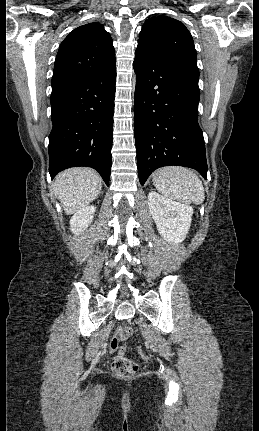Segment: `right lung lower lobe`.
Here are the masks:
<instances>
[{
    "label": "right lung lower lobe",
    "instance_id": "obj_1",
    "mask_svg": "<svg viewBox=\"0 0 259 431\" xmlns=\"http://www.w3.org/2000/svg\"><path fill=\"white\" fill-rule=\"evenodd\" d=\"M116 68L52 84L49 173L88 166L109 185Z\"/></svg>",
    "mask_w": 259,
    "mask_h": 431
}]
</instances>
